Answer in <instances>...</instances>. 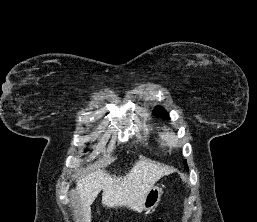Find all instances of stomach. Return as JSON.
I'll use <instances>...</instances> for the list:
<instances>
[{
	"label": "stomach",
	"instance_id": "obj_1",
	"mask_svg": "<svg viewBox=\"0 0 257 222\" xmlns=\"http://www.w3.org/2000/svg\"><path fill=\"white\" fill-rule=\"evenodd\" d=\"M161 195H162L161 187L153 186L145 197L143 210L146 212L152 211L160 202Z\"/></svg>",
	"mask_w": 257,
	"mask_h": 222
}]
</instances>
